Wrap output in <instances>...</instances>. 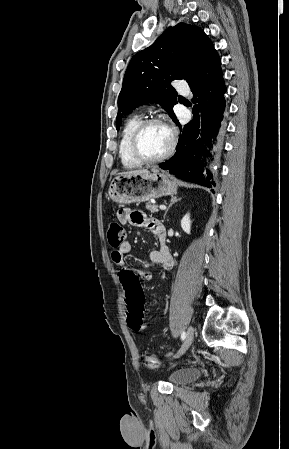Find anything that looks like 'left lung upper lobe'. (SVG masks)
<instances>
[{
	"mask_svg": "<svg viewBox=\"0 0 289 449\" xmlns=\"http://www.w3.org/2000/svg\"><path fill=\"white\" fill-rule=\"evenodd\" d=\"M213 50L202 29L179 23L169 27L150 47L136 53L127 67L118 98L117 130L123 115L152 102L160 104L174 121L172 108L178 101L171 81L185 79L190 83Z\"/></svg>",
	"mask_w": 289,
	"mask_h": 449,
	"instance_id": "left-lung-upper-lobe-1",
	"label": "left lung upper lobe"
}]
</instances>
